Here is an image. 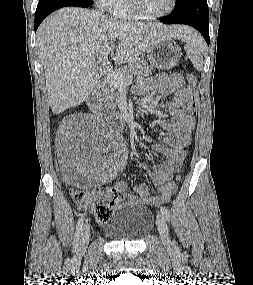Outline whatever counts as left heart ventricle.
Instances as JSON below:
<instances>
[{
	"label": "left heart ventricle",
	"instance_id": "left-heart-ventricle-1",
	"mask_svg": "<svg viewBox=\"0 0 253 285\" xmlns=\"http://www.w3.org/2000/svg\"><path fill=\"white\" fill-rule=\"evenodd\" d=\"M172 0H139L140 7L147 14H160L171 6Z\"/></svg>",
	"mask_w": 253,
	"mask_h": 285
}]
</instances>
